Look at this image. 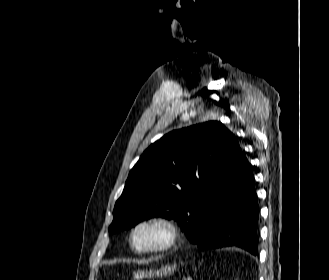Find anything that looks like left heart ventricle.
<instances>
[{
    "mask_svg": "<svg viewBox=\"0 0 329 280\" xmlns=\"http://www.w3.org/2000/svg\"><path fill=\"white\" fill-rule=\"evenodd\" d=\"M165 238L164 230L156 225L140 228L134 235V244L139 248H146L160 244Z\"/></svg>",
    "mask_w": 329,
    "mask_h": 280,
    "instance_id": "b2bd125f",
    "label": "left heart ventricle"
}]
</instances>
